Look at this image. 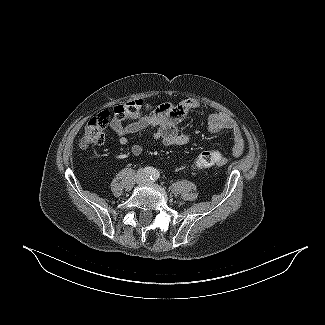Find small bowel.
Instances as JSON below:
<instances>
[{
  "label": "small bowel",
  "mask_w": 325,
  "mask_h": 325,
  "mask_svg": "<svg viewBox=\"0 0 325 325\" xmlns=\"http://www.w3.org/2000/svg\"><path fill=\"white\" fill-rule=\"evenodd\" d=\"M200 107L201 104L196 99H187L179 103H161L157 106L144 103L145 113L128 117L127 123H123L119 119H113L110 126L121 145L128 144L130 135L139 133L148 127H155L154 139L160 140L166 146H184L191 142V137L180 131L179 124L188 111ZM206 120L210 132L231 131L233 134L232 153L235 156H240L243 153L244 139L240 128L229 116L219 112H212L207 114ZM142 152L143 147L139 144L130 147V153L134 156L141 155ZM191 167H193V164Z\"/></svg>",
  "instance_id": "small-bowel-1"
}]
</instances>
